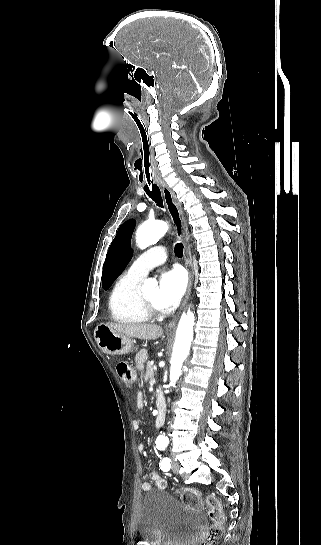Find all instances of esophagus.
<instances>
[{"instance_id": "esophagus-1", "label": "esophagus", "mask_w": 321, "mask_h": 545, "mask_svg": "<svg viewBox=\"0 0 321 545\" xmlns=\"http://www.w3.org/2000/svg\"><path fill=\"white\" fill-rule=\"evenodd\" d=\"M161 189H162L167 210L175 226L176 237L178 239H181L184 243V261H185L186 270L188 272V286H187L186 295L182 302L181 308L178 314L176 315V317H174V319L166 325L167 329H172L176 324V321L181 313V310L183 309V307L185 306L189 298L192 283H193V278H194V268H193L192 254H191V245L188 238V229H187L186 223L183 221L182 206L180 202L177 201L175 194L167 185H161Z\"/></svg>"}]
</instances>
